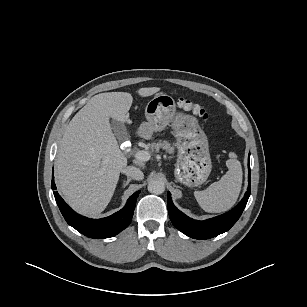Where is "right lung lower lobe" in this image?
Segmentation results:
<instances>
[{
    "label": "right lung lower lobe",
    "mask_w": 307,
    "mask_h": 307,
    "mask_svg": "<svg viewBox=\"0 0 307 307\" xmlns=\"http://www.w3.org/2000/svg\"><path fill=\"white\" fill-rule=\"evenodd\" d=\"M53 178L52 175V189L55 190ZM139 192H135L120 211L101 219H90L77 214L65 203L57 191L53 193L63 217L70 226L87 237L103 239L117 235L130 224Z\"/></svg>",
    "instance_id": "1"
}]
</instances>
